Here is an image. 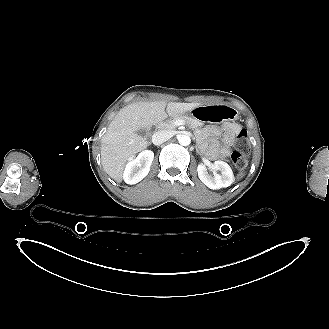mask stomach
<instances>
[{
	"label": "stomach",
	"instance_id": "stomach-1",
	"mask_svg": "<svg viewBox=\"0 0 329 329\" xmlns=\"http://www.w3.org/2000/svg\"><path fill=\"white\" fill-rule=\"evenodd\" d=\"M191 116L201 122H222L236 120L238 114L236 110L225 104L201 105L189 112Z\"/></svg>",
	"mask_w": 329,
	"mask_h": 329
}]
</instances>
